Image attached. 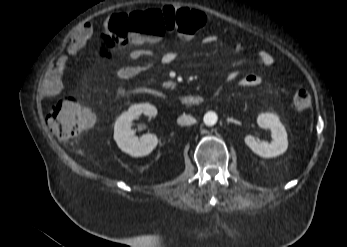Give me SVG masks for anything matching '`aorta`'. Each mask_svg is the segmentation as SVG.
<instances>
[{
    "label": "aorta",
    "instance_id": "aorta-1",
    "mask_svg": "<svg viewBox=\"0 0 347 247\" xmlns=\"http://www.w3.org/2000/svg\"><path fill=\"white\" fill-rule=\"evenodd\" d=\"M204 123L207 126H213L217 123L218 117L217 114L213 111H209L204 115Z\"/></svg>",
    "mask_w": 347,
    "mask_h": 247
}]
</instances>
